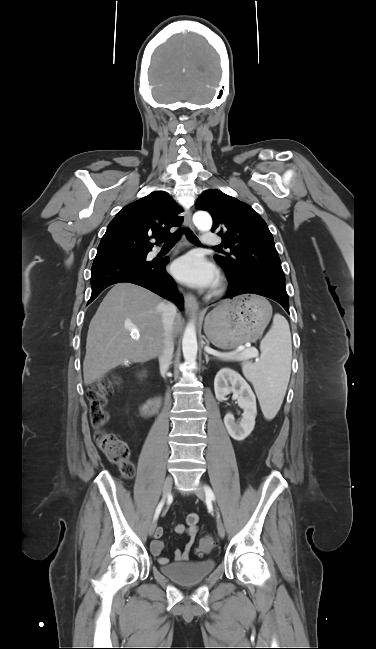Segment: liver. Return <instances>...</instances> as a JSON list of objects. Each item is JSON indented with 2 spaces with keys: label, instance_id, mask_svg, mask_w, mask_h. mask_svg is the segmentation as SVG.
<instances>
[{
  "label": "liver",
  "instance_id": "liver-1",
  "mask_svg": "<svg viewBox=\"0 0 376 649\" xmlns=\"http://www.w3.org/2000/svg\"><path fill=\"white\" fill-rule=\"evenodd\" d=\"M163 305L160 297L138 285L118 283L112 287L89 325L83 362L85 385L123 362H144L159 355L164 340ZM181 327L182 317L176 314L174 338Z\"/></svg>",
  "mask_w": 376,
  "mask_h": 649
}]
</instances>
